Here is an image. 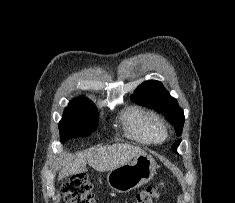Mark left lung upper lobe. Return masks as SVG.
<instances>
[{"mask_svg":"<svg viewBox=\"0 0 235 203\" xmlns=\"http://www.w3.org/2000/svg\"><path fill=\"white\" fill-rule=\"evenodd\" d=\"M131 98L139 105L163 113L175 127L176 134L178 136L182 134L185 120L183 110L178 106L176 99L170 96L160 82L154 80L143 82L137 87ZM180 141L178 140L172 145L174 152H177L176 149Z\"/></svg>","mask_w":235,"mask_h":203,"instance_id":"obj_1","label":"left lung upper lobe"}]
</instances>
